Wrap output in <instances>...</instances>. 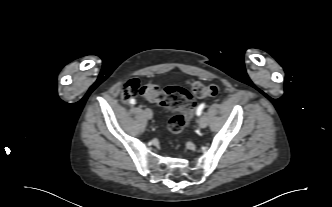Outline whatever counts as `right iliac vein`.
Segmentation results:
<instances>
[{"mask_svg":"<svg viewBox=\"0 0 332 207\" xmlns=\"http://www.w3.org/2000/svg\"><path fill=\"white\" fill-rule=\"evenodd\" d=\"M144 114L147 117V119H151L153 117V112L149 108H147V109L144 110Z\"/></svg>","mask_w":332,"mask_h":207,"instance_id":"right-iliac-vein-1","label":"right iliac vein"}]
</instances>
